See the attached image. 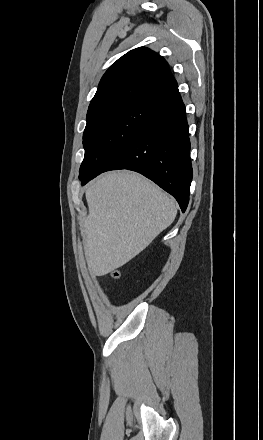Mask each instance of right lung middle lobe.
<instances>
[{
	"instance_id": "dd1d6c3e",
	"label": "right lung middle lobe",
	"mask_w": 263,
	"mask_h": 440,
	"mask_svg": "<svg viewBox=\"0 0 263 440\" xmlns=\"http://www.w3.org/2000/svg\"><path fill=\"white\" fill-rule=\"evenodd\" d=\"M155 105L133 104L107 109L89 119L83 134L81 181L103 172L113 156L127 145L154 113Z\"/></svg>"
}]
</instances>
